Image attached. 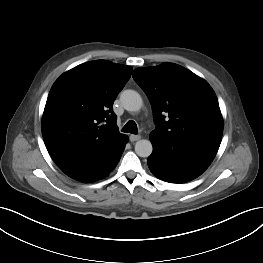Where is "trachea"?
Masks as SVG:
<instances>
[{"instance_id":"3493384b","label":"trachea","mask_w":263,"mask_h":263,"mask_svg":"<svg viewBox=\"0 0 263 263\" xmlns=\"http://www.w3.org/2000/svg\"><path fill=\"white\" fill-rule=\"evenodd\" d=\"M137 125L134 121L130 120L128 121L125 126L122 129V132L125 133H131V134H137Z\"/></svg>"}]
</instances>
